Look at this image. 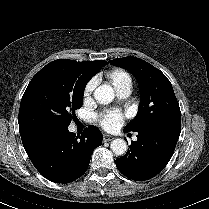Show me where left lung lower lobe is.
Masks as SVG:
<instances>
[{"label": "left lung lower lobe", "mask_w": 209, "mask_h": 209, "mask_svg": "<svg viewBox=\"0 0 209 209\" xmlns=\"http://www.w3.org/2000/svg\"><path fill=\"white\" fill-rule=\"evenodd\" d=\"M180 131L178 128H148L138 131V140L132 141L130 150L116 159L117 168L132 180L153 178L171 159Z\"/></svg>", "instance_id": "1"}]
</instances>
